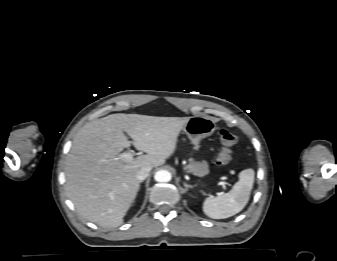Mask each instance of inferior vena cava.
<instances>
[{
	"label": "inferior vena cava",
	"instance_id": "inferior-vena-cava-1",
	"mask_svg": "<svg viewBox=\"0 0 337 261\" xmlns=\"http://www.w3.org/2000/svg\"><path fill=\"white\" fill-rule=\"evenodd\" d=\"M150 171H151V167H143L139 169L136 174L137 180L139 181L145 180L148 177Z\"/></svg>",
	"mask_w": 337,
	"mask_h": 261
}]
</instances>
